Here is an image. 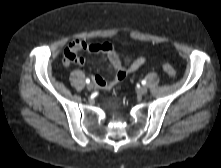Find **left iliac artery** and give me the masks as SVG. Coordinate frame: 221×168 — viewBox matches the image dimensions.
Returning <instances> with one entry per match:
<instances>
[{"label":"left iliac artery","instance_id":"1","mask_svg":"<svg viewBox=\"0 0 221 168\" xmlns=\"http://www.w3.org/2000/svg\"><path fill=\"white\" fill-rule=\"evenodd\" d=\"M142 85H145L146 84V80H142Z\"/></svg>","mask_w":221,"mask_h":168}]
</instances>
